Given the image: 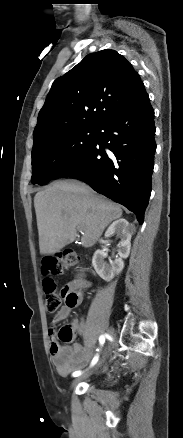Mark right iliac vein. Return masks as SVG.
<instances>
[{
    "label": "right iliac vein",
    "mask_w": 183,
    "mask_h": 438,
    "mask_svg": "<svg viewBox=\"0 0 183 438\" xmlns=\"http://www.w3.org/2000/svg\"><path fill=\"white\" fill-rule=\"evenodd\" d=\"M108 334L110 335L111 338H114V337H115L114 331H113L112 329H109V330H108ZM109 351H110V348L106 349V350H105V353H104V356H103V358L99 361V363H97V364L91 369V371H88V372L85 373L84 375H82V376H80V377H77V378L73 381L72 385L77 384V383H78L79 381H81L82 379L88 377L89 374H90L92 371L97 370V369L101 366V364L103 363L104 359L108 356Z\"/></svg>",
    "instance_id": "right-iliac-vein-1"
}]
</instances>
